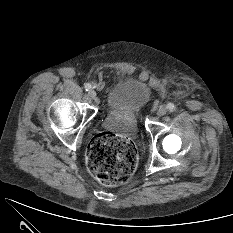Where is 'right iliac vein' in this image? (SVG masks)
<instances>
[{"instance_id":"right-iliac-vein-1","label":"right iliac vein","mask_w":233,"mask_h":233,"mask_svg":"<svg viewBox=\"0 0 233 233\" xmlns=\"http://www.w3.org/2000/svg\"><path fill=\"white\" fill-rule=\"evenodd\" d=\"M88 95L91 99H95L97 94L94 90H89Z\"/></svg>"}]
</instances>
